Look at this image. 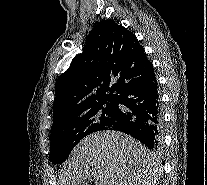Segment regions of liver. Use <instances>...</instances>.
Returning <instances> with one entry per match:
<instances>
[{"instance_id":"6515ba94","label":"liver","mask_w":207,"mask_h":185,"mask_svg":"<svg viewBox=\"0 0 207 185\" xmlns=\"http://www.w3.org/2000/svg\"><path fill=\"white\" fill-rule=\"evenodd\" d=\"M147 147L121 131L87 135L64 163L61 185H153L155 163Z\"/></svg>"}]
</instances>
